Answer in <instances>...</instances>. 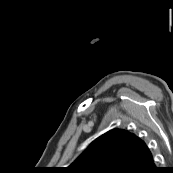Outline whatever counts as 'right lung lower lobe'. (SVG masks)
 Instances as JSON below:
<instances>
[{"label": "right lung lower lobe", "instance_id": "right-lung-lower-lobe-1", "mask_svg": "<svg viewBox=\"0 0 173 173\" xmlns=\"http://www.w3.org/2000/svg\"><path fill=\"white\" fill-rule=\"evenodd\" d=\"M159 170L154 165L152 155L136 162L124 173H158Z\"/></svg>", "mask_w": 173, "mask_h": 173}]
</instances>
